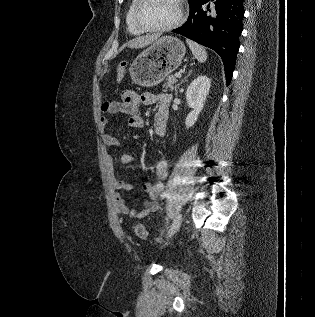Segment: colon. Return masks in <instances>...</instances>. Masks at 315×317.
<instances>
[{
  "label": "colon",
  "instance_id": "obj_1",
  "mask_svg": "<svg viewBox=\"0 0 315 317\" xmlns=\"http://www.w3.org/2000/svg\"><path fill=\"white\" fill-rule=\"evenodd\" d=\"M126 66H127L126 62H121L118 64L117 69H116V81L117 82L122 81V79L124 78L125 72H126ZM134 232H135L136 236L139 237L140 239H143V240L148 239V232H147L144 225L136 224L134 227Z\"/></svg>",
  "mask_w": 315,
  "mask_h": 317
}]
</instances>
